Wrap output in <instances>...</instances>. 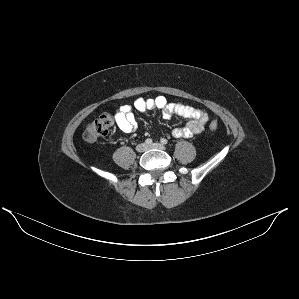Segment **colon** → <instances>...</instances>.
<instances>
[{
	"mask_svg": "<svg viewBox=\"0 0 299 299\" xmlns=\"http://www.w3.org/2000/svg\"><path fill=\"white\" fill-rule=\"evenodd\" d=\"M113 126V118L110 114H102L91 121L84 130L83 138L86 141H95L106 136ZM218 124L215 120L210 122V129L217 130Z\"/></svg>",
	"mask_w": 299,
	"mask_h": 299,
	"instance_id": "1",
	"label": "colon"
}]
</instances>
